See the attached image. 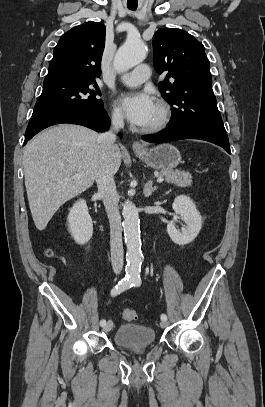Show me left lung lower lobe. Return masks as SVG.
Segmentation results:
<instances>
[{
  "label": "left lung lower lobe",
  "mask_w": 265,
  "mask_h": 407,
  "mask_svg": "<svg viewBox=\"0 0 265 407\" xmlns=\"http://www.w3.org/2000/svg\"><path fill=\"white\" fill-rule=\"evenodd\" d=\"M142 139L148 142L159 143L181 139H200L217 144L231 154L228 138H223L205 130L192 127L167 128L159 134L143 136Z\"/></svg>",
  "instance_id": "left-lung-lower-lobe-1"
}]
</instances>
